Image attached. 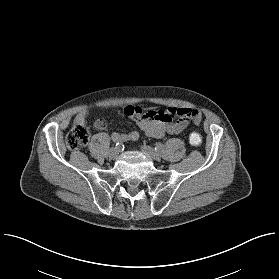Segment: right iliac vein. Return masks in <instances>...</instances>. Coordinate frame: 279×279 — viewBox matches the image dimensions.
I'll return each instance as SVG.
<instances>
[{
  "instance_id": "right-iliac-vein-1",
  "label": "right iliac vein",
  "mask_w": 279,
  "mask_h": 279,
  "mask_svg": "<svg viewBox=\"0 0 279 279\" xmlns=\"http://www.w3.org/2000/svg\"><path fill=\"white\" fill-rule=\"evenodd\" d=\"M118 154H119V149L117 147H112L110 149L109 155L112 159L117 158Z\"/></svg>"
}]
</instances>
